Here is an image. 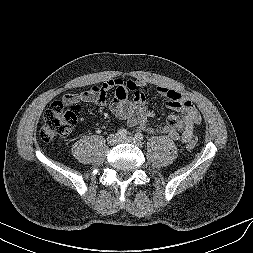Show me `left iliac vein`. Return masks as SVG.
Masks as SVG:
<instances>
[{"label": "left iliac vein", "mask_w": 253, "mask_h": 253, "mask_svg": "<svg viewBox=\"0 0 253 253\" xmlns=\"http://www.w3.org/2000/svg\"><path fill=\"white\" fill-rule=\"evenodd\" d=\"M121 141L122 142L133 143V144H135L137 146H141L142 145V143L139 140H137L136 138H134L132 136L123 137V138H121Z\"/></svg>", "instance_id": "left-iliac-vein-1"}]
</instances>
